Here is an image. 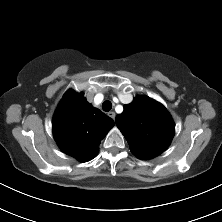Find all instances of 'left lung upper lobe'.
Masks as SVG:
<instances>
[{
  "instance_id": "obj_1",
  "label": "left lung upper lobe",
  "mask_w": 222,
  "mask_h": 222,
  "mask_svg": "<svg viewBox=\"0 0 222 222\" xmlns=\"http://www.w3.org/2000/svg\"><path fill=\"white\" fill-rule=\"evenodd\" d=\"M127 139L131 152L138 158L152 159L167 149L174 136V122L159 102L137 96L115 120Z\"/></svg>"
}]
</instances>
